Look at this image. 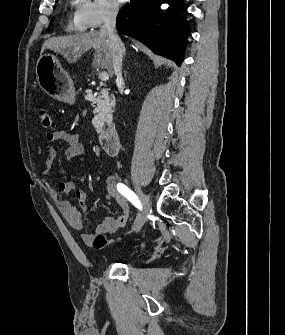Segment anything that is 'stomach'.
Returning <instances> with one entry per match:
<instances>
[{"label":"stomach","mask_w":285,"mask_h":335,"mask_svg":"<svg viewBox=\"0 0 285 335\" xmlns=\"http://www.w3.org/2000/svg\"><path fill=\"white\" fill-rule=\"evenodd\" d=\"M36 78L41 90L54 100H61L67 104L74 102L73 82L67 72H64L56 56H40L36 64Z\"/></svg>","instance_id":"0dacf381"}]
</instances>
